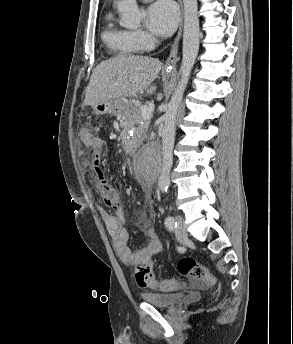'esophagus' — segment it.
Here are the masks:
<instances>
[{"mask_svg": "<svg viewBox=\"0 0 293 344\" xmlns=\"http://www.w3.org/2000/svg\"><path fill=\"white\" fill-rule=\"evenodd\" d=\"M179 5H180V9H181V16H180V22H179V29H178V33L177 36L175 38L174 44L172 46V50L171 53L169 55V57L166 60L165 63V68H172L175 66L176 62L178 61V45H179V41L182 35V28H183V12H182V0H178Z\"/></svg>", "mask_w": 293, "mask_h": 344, "instance_id": "34e87169", "label": "esophagus"}]
</instances>
